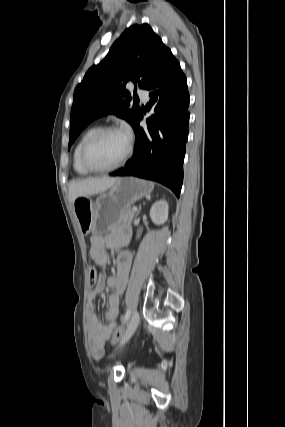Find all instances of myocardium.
<instances>
[{
	"label": "myocardium",
	"instance_id": "f54148a6",
	"mask_svg": "<svg viewBox=\"0 0 285 427\" xmlns=\"http://www.w3.org/2000/svg\"><path fill=\"white\" fill-rule=\"evenodd\" d=\"M121 132V130L116 126H104L99 128L96 132H94L83 144L80 159L82 165L91 172H107L114 170L121 165H123L131 156L133 151V141L132 138L128 139V147L124 155L115 163L108 166H96L94 165L89 158V152L94 143L99 140L102 136L110 132Z\"/></svg>",
	"mask_w": 285,
	"mask_h": 427
}]
</instances>
